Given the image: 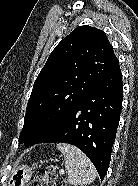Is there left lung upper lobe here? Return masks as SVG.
<instances>
[{
	"label": "left lung upper lobe",
	"instance_id": "1",
	"mask_svg": "<svg viewBox=\"0 0 138 186\" xmlns=\"http://www.w3.org/2000/svg\"><path fill=\"white\" fill-rule=\"evenodd\" d=\"M117 63L102 30L75 28L54 48L34 82L19 144L32 146L53 132Z\"/></svg>",
	"mask_w": 138,
	"mask_h": 186
}]
</instances>
